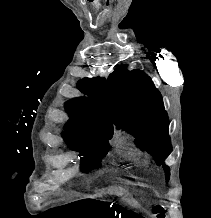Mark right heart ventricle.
Returning a JSON list of instances; mask_svg holds the SVG:
<instances>
[{
    "label": "right heart ventricle",
    "instance_id": "e07e8e85",
    "mask_svg": "<svg viewBox=\"0 0 211 218\" xmlns=\"http://www.w3.org/2000/svg\"><path fill=\"white\" fill-rule=\"evenodd\" d=\"M138 165H143V160H138Z\"/></svg>",
    "mask_w": 211,
    "mask_h": 218
}]
</instances>
